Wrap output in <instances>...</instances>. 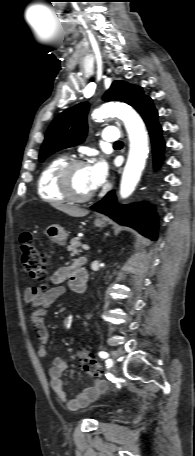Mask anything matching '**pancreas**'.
<instances>
[{
  "label": "pancreas",
  "instance_id": "1",
  "mask_svg": "<svg viewBox=\"0 0 195 456\" xmlns=\"http://www.w3.org/2000/svg\"><path fill=\"white\" fill-rule=\"evenodd\" d=\"M81 246L80 238H73L70 241V245L68 246V251L71 252L72 255H77L81 252L79 247Z\"/></svg>",
  "mask_w": 195,
  "mask_h": 456
}]
</instances>
